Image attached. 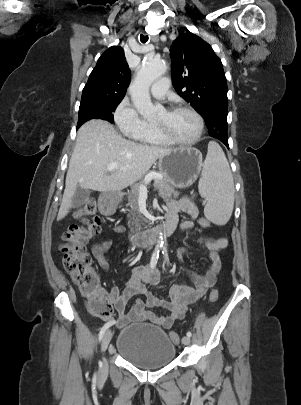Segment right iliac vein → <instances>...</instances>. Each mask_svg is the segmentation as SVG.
Listing matches in <instances>:
<instances>
[{
	"mask_svg": "<svg viewBox=\"0 0 301 405\" xmlns=\"http://www.w3.org/2000/svg\"><path fill=\"white\" fill-rule=\"evenodd\" d=\"M113 332L111 330H108L102 339V344H101V351L104 353L112 339ZM107 371V361L106 358L103 357L102 362H101V373H105Z\"/></svg>",
	"mask_w": 301,
	"mask_h": 405,
	"instance_id": "obj_1",
	"label": "right iliac vein"
}]
</instances>
